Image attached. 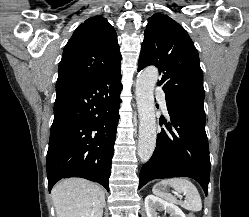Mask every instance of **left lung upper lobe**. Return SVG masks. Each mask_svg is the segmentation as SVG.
Returning a JSON list of instances; mask_svg holds the SVG:
<instances>
[{"label": "left lung upper lobe", "mask_w": 249, "mask_h": 217, "mask_svg": "<svg viewBox=\"0 0 249 217\" xmlns=\"http://www.w3.org/2000/svg\"><path fill=\"white\" fill-rule=\"evenodd\" d=\"M155 65L165 98L185 97L204 102L203 72L199 55L185 29L168 15L148 19L138 61V71Z\"/></svg>", "instance_id": "left-lung-upper-lobe-1"}]
</instances>
